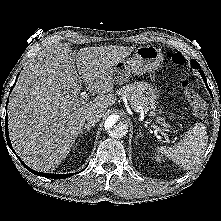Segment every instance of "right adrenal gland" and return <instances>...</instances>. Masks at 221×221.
<instances>
[{
  "instance_id": "1",
  "label": "right adrenal gland",
  "mask_w": 221,
  "mask_h": 221,
  "mask_svg": "<svg viewBox=\"0 0 221 221\" xmlns=\"http://www.w3.org/2000/svg\"><path fill=\"white\" fill-rule=\"evenodd\" d=\"M94 126L95 124H90V123L85 124V126L81 129L80 137L82 138L84 133L90 132L91 128Z\"/></svg>"
}]
</instances>
